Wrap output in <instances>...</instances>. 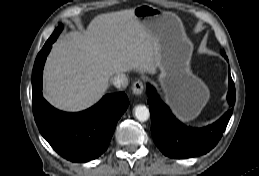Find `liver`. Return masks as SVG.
<instances>
[{
    "label": "liver",
    "mask_w": 259,
    "mask_h": 176,
    "mask_svg": "<svg viewBox=\"0 0 259 176\" xmlns=\"http://www.w3.org/2000/svg\"><path fill=\"white\" fill-rule=\"evenodd\" d=\"M157 54L133 9L100 14L85 31H71L53 45L44 68V97L62 110H84L106 93L113 76L154 73Z\"/></svg>",
    "instance_id": "1"
}]
</instances>
